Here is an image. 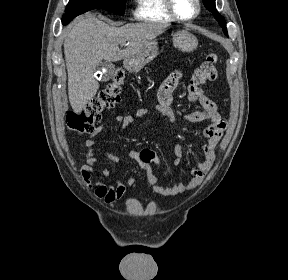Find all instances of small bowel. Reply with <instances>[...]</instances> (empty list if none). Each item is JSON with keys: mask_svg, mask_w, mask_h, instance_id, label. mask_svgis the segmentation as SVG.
<instances>
[{"mask_svg": "<svg viewBox=\"0 0 288 280\" xmlns=\"http://www.w3.org/2000/svg\"><path fill=\"white\" fill-rule=\"evenodd\" d=\"M180 70L170 74L158 89L157 98L158 105L155 106V111L168 117L171 122L177 121V116L173 110V92L180 79L182 78ZM188 98L190 101L198 102L200 109L188 113L184 119L188 122L210 121V124L203 130V136L206 141L202 145L200 160L191 170V178L186 182H181L173 186H163L159 184V178L155 170L159 171L162 168V163L159 157L148 148H141L128 153L129 159L137 161L145 172V178L148 189L162 196H174L191 191L198 187L204 180L205 176L211 169L216 159V148L227 127V122L218 112L216 104L207 96L204 89L192 83L188 87ZM149 113L147 108H139L134 112V115L116 116L114 122L120 124L122 129H128L133 123L134 118L144 117ZM107 124L98 126L85 141L86 156L88 163L81 169V175L86 181L89 188L94 186V194L98 199L103 200L106 204H113L123 198L127 188L132 186L135 179L132 176H126L124 181L118 179L111 180L106 184L101 180L91 182V174L98 172L101 177L108 178L110 171L108 168L101 167L100 161L93 155V148L96 144L95 138L104 130ZM177 156L176 164L180 163L183 155V148L177 145L175 148ZM103 155L110 161L118 163L120 159L108 152H103Z\"/></svg>", "mask_w": 288, "mask_h": 280, "instance_id": "obj_1", "label": "small bowel"}]
</instances>
